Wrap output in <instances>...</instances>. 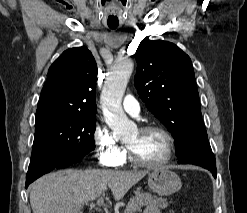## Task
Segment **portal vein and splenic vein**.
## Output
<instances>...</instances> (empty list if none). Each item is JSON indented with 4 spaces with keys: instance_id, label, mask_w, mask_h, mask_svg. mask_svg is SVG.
Returning a JSON list of instances; mask_svg holds the SVG:
<instances>
[{
    "instance_id": "obj_1",
    "label": "portal vein and splenic vein",
    "mask_w": 247,
    "mask_h": 213,
    "mask_svg": "<svg viewBox=\"0 0 247 213\" xmlns=\"http://www.w3.org/2000/svg\"><path fill=\"white\" fill-rule=\"evenodd\" d=\"M96 204H97L98 206H103V205H104L103 197H100V198L97 200Z\"/></svg>"
}]
</instances>
